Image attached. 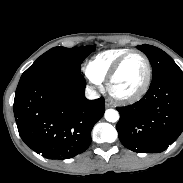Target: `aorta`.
<instances>
[{"instance_id": "762f6f07", "label": "aorta", "mask_w": 183, "mask_h": 183, "mask_svg": "<svg viewBox=\"0 0 183 183\" xmlns=\"http://www.w3.org/2000/svg\"><path fill=\"white\" fill-rule=\"evenodd\" d=\"M105 119L108 122L115 123L119 120V113L114 109H107L104 114Z\"/></svg>"}]
</instances>
